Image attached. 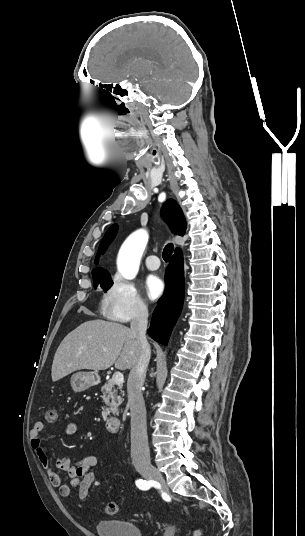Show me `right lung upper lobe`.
Masks as SVG:
<instances>
[{"instance_id": "cb5924a9", "label": "right lung upper lobe", "mask_w": 305, "mask_h": 536, "mask_svg": "<svg viewBox=\"0 0 305 536\" xmlns=\"http://www.w3.org/2000/svg\"><path fill=\"white\" fill-rule=\"evenodd\" d=\"M163 219L168 223L171 231L177 235H184L186 230V221L180 206L173 199L167 200L161 209ZM117 232V225H112L105 233L95 259V264H98L100 254H103L107 246L113 240ZM175 253H181V250L177 248ZM93 279H102L111 277L107 270L103 268H96L92 271Z\"/></svg>"}]
</instances>
